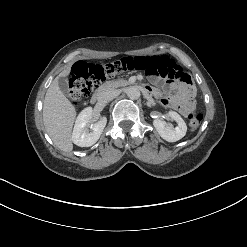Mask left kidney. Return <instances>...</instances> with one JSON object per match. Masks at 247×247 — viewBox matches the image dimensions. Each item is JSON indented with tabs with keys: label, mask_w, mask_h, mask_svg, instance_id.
I'll use <instances>...</instances> for the list:
<instances>
[{
	"label": "left kidney",
	"mask_w": 247,
	"mask_h": 247,
	"mask_svg": "<svg viewBox=\"0 0 247 247\" xmlns=\"http://www.w3.org/2000/svg\"><path fill=\"white\" fill-rule=\"evenodd\" d=\"M168 116L176 121V127L168 126L166 122L161 119H155L153 125L164 140L168 142H176L186 135L187 126L185 121L177 112L169 111Z\"/></svg>",
	"instance_id": "obj_1"
}]
</instances>
